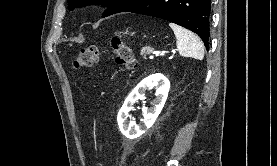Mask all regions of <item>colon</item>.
I'll return each instance as SVG.
<instances>
[{
  "label": "colon",
  "mask_w": 277,
  "mask_h": 166,
  "mask_svg": "<svg viewBox=\"0 0 277 166\" xmlns=\"http://www.w3.org/2000/svg\"><path fill=\"white\" fill-rule=\"evenodd\" d=\"M109 44L113 50L116 63L127 69H134L137 61L134 52L119 37L113 36L109 39ZM100 58V48L98 46H90L80 50L74 60L76 68L91 67L98 62Z\"/></svg>",
  "instance_id": "1"
}]
</instances>
